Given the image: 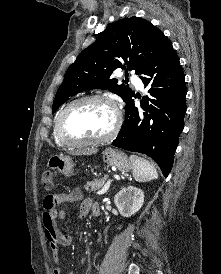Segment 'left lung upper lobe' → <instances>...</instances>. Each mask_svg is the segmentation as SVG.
I'll list each match as a JSON object with an SVG mask.
<instances>
[{
    "instance_id": "1",
    "label": "left lung upper lobe",
    "mask_w": 221,
    "mask_h": 274,
    "mask_svg": "<svg viewBox=\"0 0 221 274\" xmlns=\"http://www.w3.org/2000/svg\"><path fill=\"white\" fill-rule=\"evenodd\" d=\"M169 43L161 30L139 17L110 24L68 68L54 98L52 113L70 97L89 89H109L127 103L135 93L111 79L112 72L121 68L126 77L128 70L141 74Z\"/></svg>"
}]
</instances>
